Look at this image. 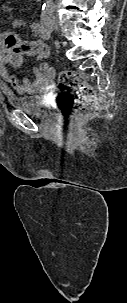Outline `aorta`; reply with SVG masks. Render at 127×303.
Wrapping results in <instances>:
<instances>
[{
  "instance_id": "aorta-1",
  "label": "aorta",
  "mask_w": 127,
  "mask_h": 303,
  "mask_svg": "<svg viewBox=\"0 0 127 303\" xmlns=\"http://www.w3.org/2000/svg\"><path fill=\"white\" fill-rule=\"evenodd\" d=\"M53 4H54L53 0H46V2H45L46 7L52 6Z\"/></svg>"
}]
</instances>
